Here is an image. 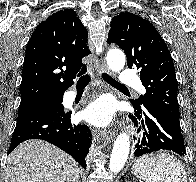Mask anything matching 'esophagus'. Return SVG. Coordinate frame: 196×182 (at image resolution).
I'll list each match as a JSON object with an SVG mask.
<instances>
[{
    "instance_id": "34e87169",
    "label": "esophagus",
    "mask_w": 196,
    "mask_h": 182,
    "mask_svg": "<svg viewBox=\"0 0 196 182\" xmlns=\"http://www.w3.org/2000/svg\"><path fill=\"white\" fill-rule=\"evenodd\" d=\"M99 71L109 73V69L107 64L105 63L104 59H100L99 61ZM113 129H105L102 131V136L106 137L107 139H110L114 135Z\"/></svg>"
}]
</instances>
